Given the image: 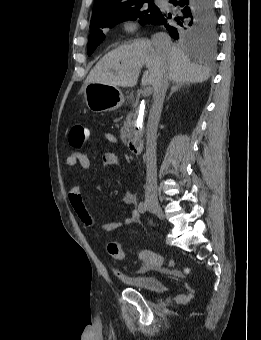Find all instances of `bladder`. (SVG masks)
<instances>
[{"instance_id":"1","label":"bladder","mask_w":261,"mask_h":340,"mask_svg":"<svg viewBox=\"0 0 261 340\" xmlns=\"http://www.w3.org/2000/svg\"><path fill=\"white\" fill-rule=\"evenodd\" d=\"M118 278L125 282L129 287L148 292L161 293L166 290L165 284L158 276H127L118 273Z\"/></svg>"}]
</instances>
